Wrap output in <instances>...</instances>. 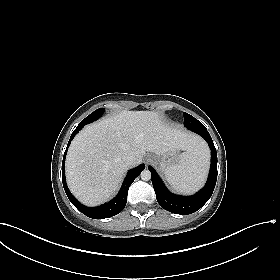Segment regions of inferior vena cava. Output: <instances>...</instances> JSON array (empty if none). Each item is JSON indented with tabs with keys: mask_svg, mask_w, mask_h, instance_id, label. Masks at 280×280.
Wrapping results in <instances>:
<instances>
[{
	"mask_svg": "<svg viewBox=\"0 0 280 280\" xmlns=\"http://www.w3.org/2000/svg\"><path fill=\"white\" fill-rule=\"evenodd\" d=\"M125 165L130 166L135 162V156L132 154H126L122 158Z\"/></svg>",
	"mask_w": 280,
	"mask_h": 280,
	"instance_id": "602c4592",
	"label": "inferior vena cava"
}]
</instances>
